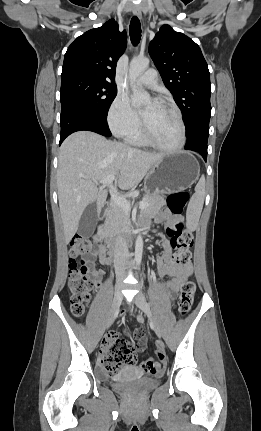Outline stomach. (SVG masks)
<instances>
[{
	"label": "stomach",
	"instance_id": "0dacf381",
	"mask_svg": "<svg viewBox=\"0 0 261 431\" xmlns=\"http://www.w3.org/2000/svg\"><path fill=\"white\" fill-rule=\"evenodd\" d=\"M199 172V163L190 153L165 154L147 174L145 190L149 195L185 190L198 179Z\"/></svg>",
	"mask_w": 261,
	"mask_h": 431
}]
</instances>
